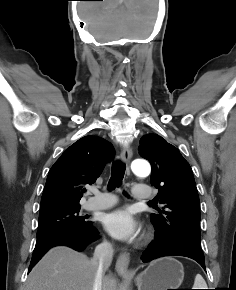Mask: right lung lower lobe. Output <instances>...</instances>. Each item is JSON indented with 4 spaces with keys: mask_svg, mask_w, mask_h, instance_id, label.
I'll use <instances>...</instances> for the list:
<instances>
[{
    "mask_svg": "<svg viewBox=\"0 0 236 290\" xmlns=\"http://www.w3.org/2000/svg\"><path fill=\"white\" fill-rule=\"evenodd\" d=\"M98 238V231L89 225L76 229L59 230L37 237L28 272L36 265L48 249L57 245H66L75 250L84 249L89 243Z\"/></svg>",
    "mask_w": 236,
    "mask_h": 290,
    "instance_id": "1",
    "label": "right lung lower lobe"
}]
</instances>
